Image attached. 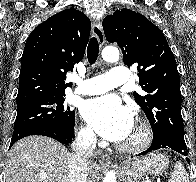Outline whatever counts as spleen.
Masks as SVG:
<instances>
[{
  "mask_svg": "<svg viewBox=\"0 0 196 182\" xmlns=\"http://www.w3.org/2000/svg\"><path fill=\"white\" fill-rule=\"evenodd\" d=\"M168 182H189V178L181 162H177Z\"/></svg>",
  "mask_w": 196,
  "mask_h": 182,
  "instance_id": "obj_1",
  "label": "spleen"
}]
</instances>
